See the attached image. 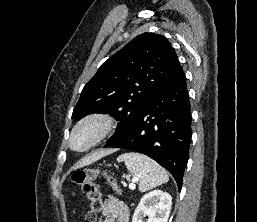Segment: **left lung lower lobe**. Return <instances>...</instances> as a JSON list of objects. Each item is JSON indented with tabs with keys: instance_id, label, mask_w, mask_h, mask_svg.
I'll list each match as a JSON object with an SVG mask.
<instances>
[{
	"instance_id": "0a47b994",
	"label": "left lung lower lobe",
	"mask_w": 257,
	"mask_h": 222,
	"mask_svg": "<svg viewBox=\"0 0 257 222\" xmlns=\"http://www.w3.org/2000/svg\"><path fill=\"white\" fill-rule=\"evenodd\" d=\"M190 139V103L180 66L133 122L104 147L134 150L151 157L172 174L181 190Z\"/></svg>"
}]
</instances>
